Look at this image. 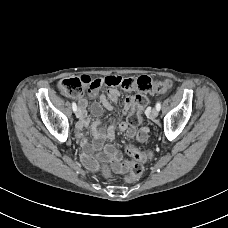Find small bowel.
I'll return each mask as SVG.
<instances>
[{"instance_id": "obj_1", "label": "small bowel", "mask_w": 228, "mask_h": 228, "mask_svg": "<svg viewBox=\"0 0 228 228\" xmlns=\"http://www.w3.org/2000/svg\"><path fill=\"white\" fill-rule=\"evenodd\" d=\"M88 78V77H86ZM89 79V78H88ZM93 95L95 92L92 93ZM120 91L117 88H111L108 90L107 95L101 93L99 95V101H94L91 105V112L96 117H100L103 113V109L111 110L113 109L114 104H116L120 97ZM79 106L81 108V116L79 121L76 124V130L78 135L86 129L89 125V118L86 113L87 99L85 96L78 97ZM134 98L127 97L125 100L124 107L122 109V114H127L133 106ZM91 129L94 134V141L92 144H89L87 141H82V147L85 149L88 154L92 148H104L105 155L110 159L114 169L116 171H122L123 165L121 164V154L120 152L112 145H105L106 140L114 138L116 129L125 132L127 137L136 138L139 142H144L148 136V129L142 127L139 130L136 127H132L128 122L119 120L118 122L113 123L108 128H104L100 120H96L91 124Z\"/></svg>"}]
</instances>
